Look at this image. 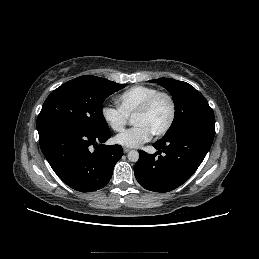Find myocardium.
I'll use <instances>...</instances> for the list:
<instances>
[{
	"mask_svg": "<svg viewBox=\"0 0 259 259\" xmlns=\"http://www.w3.org/2000/svg\"><path fill=\"white\" fill-rule=\"evenodd\" d=\"M160 97H165L169 101L171 112H170L169 120L166 123V125L161 130H159L153 134V136H155V137H161V136L165 135L174 124L177 109H176V102H175L173 96L171 94H169L168 92L158 91L155 94L151 95L149 98H147L146 101L140 106V108L133 115V117H134V116L146 114L151 109V107L153 106L155 101Z\"/></svg>",
	"mask_w": 259,
	"mask_h": 259,
	"instance_id": "1",
	"label": "myocardium"
}]
</instances>
